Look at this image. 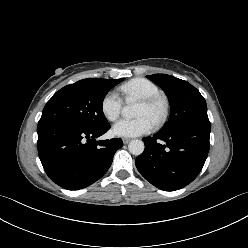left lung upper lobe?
<instances>
[{
	"label": "left lung upper lobe",
	"mask_w": 248,
	"mask_h": 248,
	"mask_svg": "<svg viewBox=\"0 0 248 248\" xmlns=\"http://www.w3.org/2000/svg\"><path fill=\"white\" fill-rule=\"evenodd\" d=\"M147 77L163 88L171 105L169 120L160 133H171L188 124L209 121L205 99L190 83L166 74Z\"/></svg>",
	"instance_id": "obj_1"
}]
</instances>
